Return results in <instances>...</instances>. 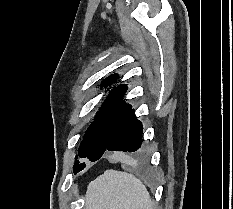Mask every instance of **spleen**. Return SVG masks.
<instances>
[{"mask_svg": "<svg viewBox=\"0 0 233 209\" xmlns=\"http://www.w3.org/2000/svg\"><path fill=\"white\" fill-rule=\"evenodd\" d=\"M86 209H153L149 192L133 174L106 170L91 181Z\"/></svg>", "mask_w": 233, "mask_h": 209, "instance_id": "1", "label": "spleen"}]
</instances>
